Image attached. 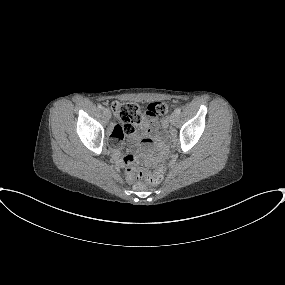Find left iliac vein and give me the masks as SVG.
Segmentation results:
<instances>
[{
  "mask_svg": "<svg viewBox=\"0 0 285 285\" xmlns=\"http://www.w3.org/2000/svg\"><path fill=\"white\" fill-rule=\"evenodd\" d=\"M177 120H178V115L175 112L172 113L171 116H170V123L172 125H175Z\"/></svg>",
  "mask_w": 285,
  "mask_h": 285,
  "instance_id": "left-iliac-vein-1",
  "label": "left iliac vein"
}]
</instances>
